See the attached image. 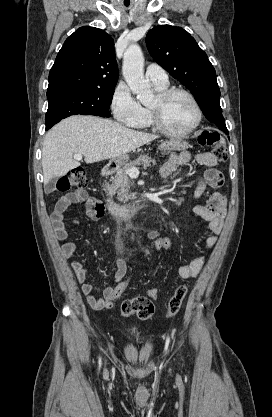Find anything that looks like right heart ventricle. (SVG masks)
Instances as JSON below:
<instances>
[{
    "label": "right heart ventricle",
    "instance_id": "e07e8e85",
    "mask_svg": "<svg viewBox=\"0 0 272 417\" xmlns=\"http://www.w3.org/2000/svg\"><path fill=\"white\" fill-rule=\"evenodd\" d=\"M156 90H158L159 92L162 90L167 89V86H158V85H154ZM153 125L151 123L150 120V115H149V109L147 107H142V115L141 118L131 127L136 128V129H149L151 128Z\"/></svg>",
    "mask_w": 272,
    "mask_h": 417
}]
</instances>
